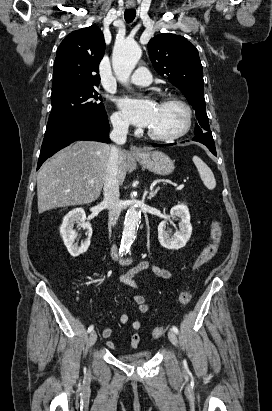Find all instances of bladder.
<instances>
[{"mask_svg":"<svg viewBox=\"0 0 272 411\" xmlns=\"http://www.w3.org/2000/svg\"><path fill=\"white\" fill-rule=\"evenodd\" d=\"M151 358L150 352H140L133 354H123L118 357L122 362L129 364H139L148 361Z\"/></svg>","mask_w":272,"mask_h":411,"instance_id":"obj_1","label":"bladder"}]
</instances>
